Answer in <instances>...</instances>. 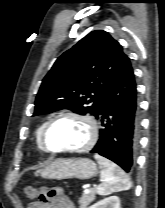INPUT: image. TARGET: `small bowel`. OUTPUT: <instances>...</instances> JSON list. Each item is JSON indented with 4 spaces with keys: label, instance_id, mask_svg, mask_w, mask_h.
I'll return each mask as SVG.
<instances>
[{
    "label": "small bowel",
    "instance_id": "c3829d8e",
    "mask_svg": "<svg viewBox=\"0 0 165 208\" xmlns=\"http://www.w3.org/2000/svg\"><path fill=\"white\" fill-rule=\"evenodd\" d=\"M27 208H76L72 200L60 187L40 189L39 200L28 204Z\"/></svg>",
    "mask_w": 165,
    "mask_h": 208
}]
</instances>
